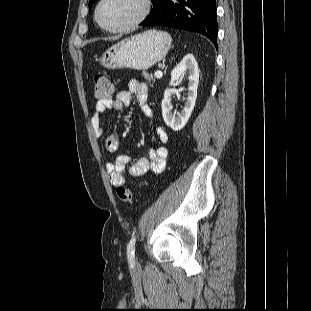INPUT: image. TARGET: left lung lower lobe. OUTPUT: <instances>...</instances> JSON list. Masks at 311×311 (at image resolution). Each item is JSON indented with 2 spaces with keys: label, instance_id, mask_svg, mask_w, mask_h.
Listing matches in <instances>:
<instances>
[{
  "label": "left lung lower lobe",
  "instance_id": "left-lung-lower-lobe-1",
  "mask_svg": "<svg viewBox=\"0 0 311 311\" xmlns=\"http://www.w3.org/2000/svg\"><path fill=\"white\" fill-rule=\"evenodd\" d=\"M142 26H167L203 34L217 46L216 0H151Z\"/></svg>",
  "mask_w": 311,
  "mask_h": 311
}]
</instances>
